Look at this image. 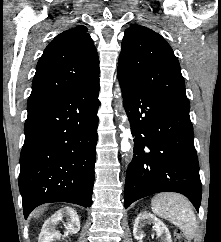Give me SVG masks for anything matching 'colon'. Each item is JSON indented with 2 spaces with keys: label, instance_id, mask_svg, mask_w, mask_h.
I'll return each mask as SVG.
<instances>
[{
  "label": "colon",
  "instance_id": "colon-1",
  "mask_svg": "<svg viewBox=\"0 0 221 242\" xmlns=\"http://www.w3.org/2000/svg\"><path fill=\"white\" fill-rule=\"evenodd\" d=\"M174 239H175V242H190L187 235L181 230L175 231Z\"/></svg>",
  "mask_w": 221,
  "mask_h": 242
}]
</instances>
